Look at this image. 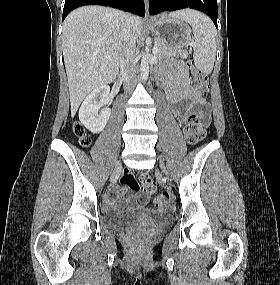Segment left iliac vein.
Listing matches in <instances>:
<instances>
[{
    "label": "left iliac vein",
    "instance_id": "4c4485c4",
    "mask_svg": "<svg viewBox=\"0 0 280 285\" xmlns=\"http://www.w3.org/2000/svg\"><path fill=\"white\" fill-rule=\"evenodd\" d=\"M160 167L165 171V166L161 158H160Z\"/></svg>",
    "mask_w": 280,
    "mask_h": 285
}]
</instances>
